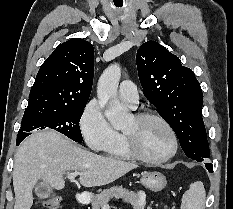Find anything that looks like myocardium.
<instances>
[{
	"label": "myocardium",
	"instance_id": "f54148a6",
	"mask_svg": "<svg viewBox=\"0 0 233 209\" xmlns=\"http://www.w3.org/2000/svg\"><path fill=\"white\" fill-rule=\"evenodd\" d=\"M134 118L137 122H142L146 119H154L160 122L168 131L170 138H171V149L170 151L161 158H150L144 155L138 148L135 139L133 135L127 132H123L124 140H125V146L131 155L132 158L139 160L141 162L147 163V164H164L168 161H170L177 153L178 150V138L176 135V132L174 128L171 126V124L161 115H159L156 112L153 111H141L134 115Z\"/></svg>",
	"mask_w": 233,
	"mask_h": 209
}]
</instances>
